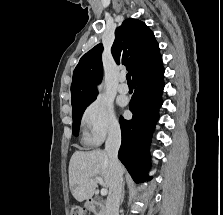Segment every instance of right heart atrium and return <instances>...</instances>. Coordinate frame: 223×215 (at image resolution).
Wrapping results in <instances>:
<instances>
[{
    "instance_id": "obj_1",
    "label": "right heart atrium",
    "mask_w": 223,
    "mask_h": 215,
    "mask_svg": "<svg viewBox=\"0 0 223 215\" xmlns=\"http://www.w3.org/2000/svg\"><path fill=\"white\" fill-rule=\"evenodd\" d=\"M81 125L88 142H100L107 135H114L119 130L111 104L101 98L94 99L86 106Z\"/></svg>"
}]
</instances>
